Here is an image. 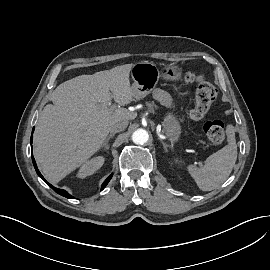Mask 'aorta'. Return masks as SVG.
<instances>
[{
    "mask_svg": "<svg viewBox=\"0 0 270 270\" xmlns=\"http://www.w3.org/2000/svg\"><path fill=\"white\" fill-rule=\"evenodd\" d=\"M149 135L148 132L144 129H137L133 132L132 140L135 144H144L148 141Z\"/></svg>",
    "mask_w": 270,
    "mask_h": 270,
    "instance_id": "aorta-1",
    "label": "aorta"
}]
</instances>
